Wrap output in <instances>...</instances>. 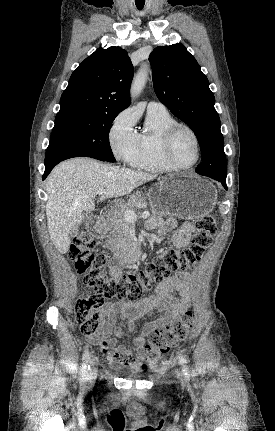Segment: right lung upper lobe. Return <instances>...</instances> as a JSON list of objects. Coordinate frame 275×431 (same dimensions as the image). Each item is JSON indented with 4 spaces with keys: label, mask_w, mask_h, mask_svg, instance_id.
<instances>
[{
    "label": "right lung upper lobe",
    "mask_w": 275,
    "mask_h": 431,
    "mask_svg": "<svg viewBox=\"0 0 275 431\" xmlns=\"http://www.w3.org/2000/svg\"><path fill=\"white\" fill-rule=\"evenodd\" d=\"M133 66L120 47L98 48L72 73L58 114L75 111L121 112L130 105Z\"/></svg>",
    "instance_id": "cb5924a9"
}]
</instances>
